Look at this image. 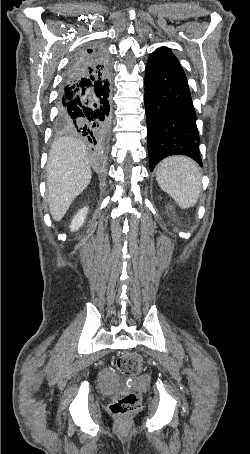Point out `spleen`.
<instances>
[{"instance_id": "1", "label": "spleen", "mask_w": 250, "mask_h": 454, "mask_svg": "<svg viewBox=\"0 0 250 454\" xmlns=\"http://www.w3.org/2000/svg\"><path fill=\"white\" fill-rule=\"evenodd\" d=\"M156 180L181 208L196 204L201 190V174L193 160L183 156L164 159L157 167Z\"/></svg>"}]
</instances>
